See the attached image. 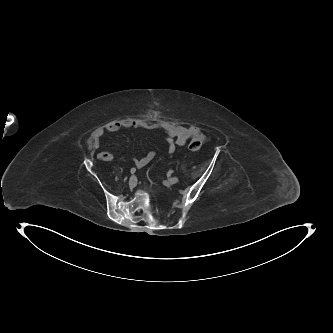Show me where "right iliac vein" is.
<instances>
[{"label":"right iliac vein","instance_id":"obj_1","mask_svg":"<svg viewBox=\"0 0 333 333\" xmlns=\"http://www.w3.org/2000/svg\"><path fill=\"white\" fill-rule=\"evenodd\" d=\"M129 187L131 188V189H133V188H135L136 187V185H137V178H136V176L135 175H132L131 177H130V179H129Z\"/></svg>","mask_w":333,"mask_h":333}]
</instances>
